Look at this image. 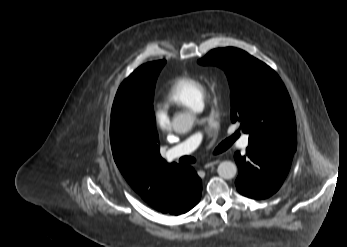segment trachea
<instances>
[{
    "label": "trachea",
    "mask_w": 347,
    "mask_h": 247,
    "mask_svg": "<svg viewBox=\"0 0 347 247\" xmlns=\"http://www.w3.org/2000/svg\"><path fill=\"white\" fill-rule=\"evenodd\" d=\"M238 137V134L232 136L230 139H228L227 141H225L224 143H222L215 151L214 153H219L222 152L226 149H228L230 147V145L233 143V141ZM180 163L183 164H191L195 162V159L193 157H182L179 159Z\"/></svg>",
    "instance_id": "trachea-1"
}]
</instances>
